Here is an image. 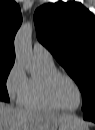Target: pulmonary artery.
Wrapping results in <instances>:
<instances>
[{"label":"pulmonary artery","instance_id":"1","mask_svg":"<svg viewBox=\"0 0 95 130\" xmlns=\"http://www.w3.org/2000/svg\"><path fill=\"white\" fill-rule=\"evenodd\" d=\"M33 54L34 57L39 61L43 63L52 64L53 63V57L51 53L47 50L46 47H44L39 42H36L33 46Z\"/></svg>","mask_w":95,"mask_h":130}]
</instances>
